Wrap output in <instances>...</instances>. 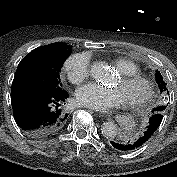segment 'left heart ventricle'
Returning a JSON list of instances; mask_svg holds the SVG:
<instances>
[{
	"instance_id": "1",
	"label": "left heart ventricle",
	"mask_w": 177,
	"mask_h": 177,
	"mask_svg": "<svg viewBox=\"0 0 177 177\" xmlns=\"http://www.w3.org/2000/svg\"><path fill=\"white\" fill-rule=\"evenodd\" d=\"M118 88L124 96L125 101L139 99L145 93V88L140 83H125L120 78H117L113 84Z\"/></svg>"
}]
</instances>
